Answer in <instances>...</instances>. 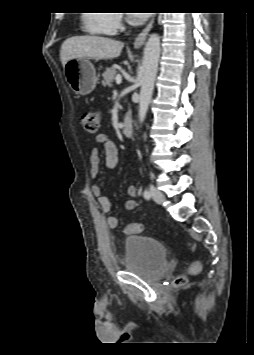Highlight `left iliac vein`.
Here are the masks:
<instances>
[{
	"label": "left iliac vein",
	"mask_w": 254,
	"mask_h": 355,
	"mask_svg": "<svg viewBox=\"0 0 254 355\" xmlns=\"http://www.w3.org/2000/svg\"><path fill=\"white\" fill-rule=\"evenodd\" d=\"M150 193H151L152 199L156 203L162 204L164 202L165 197H164L163 193L160 192L159 190H157L154 186H150Z\"/></svg>",
	"instance_id": "left-iliac-vein-1"
}]
</instances>
